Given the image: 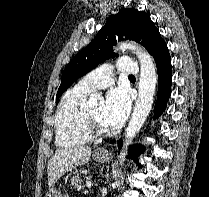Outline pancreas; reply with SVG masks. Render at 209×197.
<instances>
[{
    "label": "pancreas",
    "instance_id": "1",
    "mask_svg": "<svg viewBox=\"0 0 209 197\" xmlns=\"http://www.w3.org/2000/svg\"><path fill=\"white\" fill-rule=\"evenodd\" d=\"M72 188H82V180L79 175L74 176L71 179Z\"/></svg>",
    "mask_w": 209,
    "mask_h": 197
}]
</instances>
